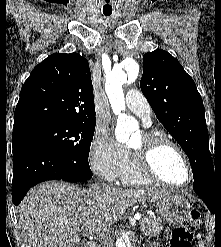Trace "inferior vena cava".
Wrapping results in <instances>:
<instances>
[{
    "label": "inferior vena cava",
    "mask_w": 221,
    "mask_h": 247,
    "mask_svg": "<svg viewBox=\"0 0 221 247\" xmlns=\"http://www.w3.org/2000/svg\"><path fill=\"white\" fill-rule=\"evenodd\" d=\"M97 186V185H96ZM100 187V185H99ZM102 188H106V185H103ZM102 247H110L109 243L107 242L106 238L104 239L103 243H102Z\"/></svg>",
    "instance_id": "1"
}]
</instances>
